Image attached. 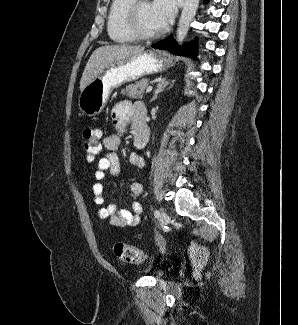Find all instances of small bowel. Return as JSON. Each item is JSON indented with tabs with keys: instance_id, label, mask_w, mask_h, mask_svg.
<instances>
[{
	"instance_id": "1",
	"label": "small bowel",
	"mask_w": 298,
	"mask_h": 325,
	"mask_svg": "<svg viewBox=\"0 0 298 325\" xmlns=\"http://www.w3.org/2000/svg\"><path fill=\"white\" fill-rule=\"evenodd\" d=\"M135 104L128 100H124L115 105L112 110V121L115 127V132L107 135L103 139V148L105 150L102 157L98 160L97 170L94 178L95 182L92 186L94 195V203L100 206L98 215L101 219H105L110 225L116 228H133L140 221L142 214V204L135 200L132 203V210L119 208L116 204L104 205L103 186L101 184L105 173L111 175H118L120 171V162L117 155V150L121 144L122 136L126 130L127 125L132 120L133 109ZM129 163L136 168L144 167V159L138 153H131L129 155ZM142 184L134 182L131 187V194L137 197L142 192Z\"/></svg>"
}]
</instances>
